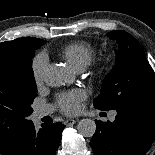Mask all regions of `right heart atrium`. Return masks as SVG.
Wrapping results in <instances>:
<instances>
[{"instance_id":"right-heart-atrium-1","label":"right heart atrium","mask_w":155,"mask_h":155,"mask_svg":"<svg viewBox=\"0 0 155 155\" xmlns=\"http://www.w3.org/2000/svg\"><path fill=\"white\" fill-rule=\"evenodd\" d=\"M48 65V57L45 53H39L32 62V73L34 80L40 84L44 80L46 68Z\"/></svg>"}]
</instances>
